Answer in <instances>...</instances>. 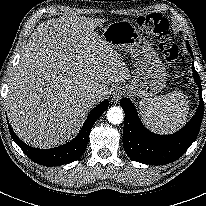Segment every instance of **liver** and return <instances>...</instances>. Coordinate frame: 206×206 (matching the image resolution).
Listing matches in <instances>:
<instances>
[{"label": "liver", "instance_id": "6515ba94", "mask_svg": "<svg viewBox=\"0 0 206 206\" xmlns=\"http://www.w3.org/2000/svg\"><path fill=\"white\" fill-rule=\"evenodd\" d=\"M104 20L63 16L41 23L31 34L5 99L17 136L52 148L74 136L112 82L130 79L121 55L95 32ZM100 93L102 99L90 100Z\"/></svg>", "mask_w": 206, "mask_h": 206}]
</instances>
